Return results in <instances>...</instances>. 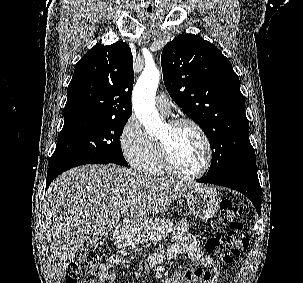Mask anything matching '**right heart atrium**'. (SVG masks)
Masks as SVG:
<instances>
[{
    "label": "right heart atrium",
    "instance_id": "obj_1",
    "mask_svg": "<svg viewBox=\"0 0 303 283\" xmlns=\"http://www.w3.org/2000/svg\"><path fill=\"white\" fill-rule=\"evenodd\" d=\"M151 141V137L147 135L134 115L127 119L119 134L122 155L132 166H138L147 155Z\"/></svg>",
    "mask_w": 303,
    "mask_h": 283
}]
</instances>
